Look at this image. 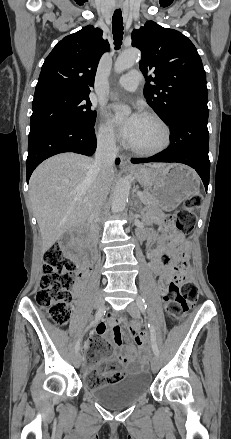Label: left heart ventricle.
<instances>
[{
  "label": "left heart ventricle",
  "instance_id": "obj_1",
  "mask_svg": "<svg viewBox=\"0 0 231 439\" xmlns=\"http://www.w3.org/2000/svg\"><path fill=\"white\" fill-rule=\"evenodd\" d=\"M163 140V131L154 121L144 117L132 146L148 149L158 146Z\"/></svg>",
  "mask_w": 231,
  "mask_h": 439
}]
</instances>
